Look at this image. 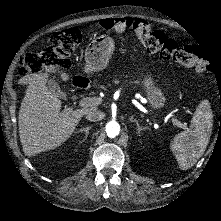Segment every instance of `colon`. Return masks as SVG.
I'll return each mask as SVG.
<instances>
[{
    "label": "colon",
    "mask_w": 221,
    "mask_h": 221,
    "mask_svg": "<svg viewBox=\"0 0 221 221\" xmlns=\"http://www.w3.org/2000/svg\"><path fill=\"white\" fill-rule=\"evenodd\" d=\"M99 26L103 32L108 33L119 34L132 30L138 41L150 53L192 66L200 73L209 70V63L199 49L194 46L178 45L165 33L141 19H103ZM81 42L82 34L79 30L71 29L67 32L55 33L50 38L49 47L25 54L20 60L18 71L27 75L40 73L47 68L63 70L67 66L66 60L74 54Z\"/></svg>",
    "instance_id": "obj_1"
}]
</instances>
